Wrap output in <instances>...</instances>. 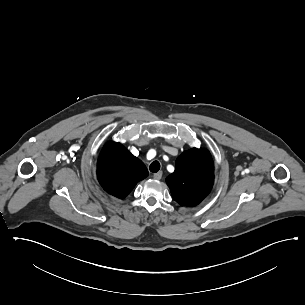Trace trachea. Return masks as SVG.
<instances>
[{"label": "trachea", "instance_id": "1", "mask_svg": "<svg viewBox=\"0 0 305 305\" xmlns=\"http://www.w3.org/2000/svg\"><path fill=\"white\" fill-rule=\"evenodd\" d=\"M149 169L152 173H157L160 170V163L158 161H153L150 164Z\"/></svg>", "mask_w": 305, "mask_h": 305}]
</instances>
